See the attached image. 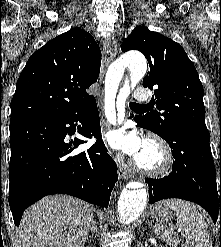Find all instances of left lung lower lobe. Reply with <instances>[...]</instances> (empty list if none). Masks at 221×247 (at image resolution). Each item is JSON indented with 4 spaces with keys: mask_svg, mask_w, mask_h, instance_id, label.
I'll return each instance as SVG.
<instances>
[{
    "mask_svg": "<svg viewBox=\"0 0 221 247\" xmlns=\"http://www.w3.org/2000/svg\"><path fill=\"white\" fill-rule=\"evenodd\" d=\"M134 120L146 128L139 116ZM209 138L208 131L185 134L176 130L174 143L168 142L175 159L172 172L162 179H145L149 185V203L167 198L188 200L202 206L216 223L219 205L221 214V194L218 199Z\"/></svg>",
    "mask_w": 221,
    "mask_h": 247,
    "instance_id": "1",
    "label": "left lung lower lobe"
}]
</instances>
